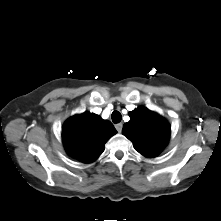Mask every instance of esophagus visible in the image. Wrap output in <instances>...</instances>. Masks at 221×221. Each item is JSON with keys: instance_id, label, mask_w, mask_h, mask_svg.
Masks as SVG:
<instances>
[{"instance_id": "obj_1", "label": "esophagus", "mask_w": 221, "mask_h": 221, "mask_svg": "<svg viewBox=\"0 0 221 221\" xmlns=\"http://www.w3.org/2000/svg\"><path fill=\"white\" fill-rule=\"evenodd\" d=\"M122 127H123V124L122 123H118L115 125V128L118 132H121L122 131Z\"/></svg>"}]
</instances>
